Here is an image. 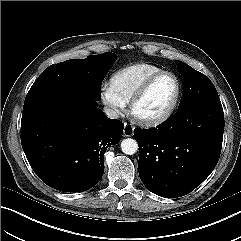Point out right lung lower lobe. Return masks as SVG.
Returning a JSON list of instances; mask_svg holds the SVG:
<instances>
[{
    "label": "right lung lower lobe",
    "mask_w": 241,
    "mask_h": 241,
    "mask_svg": "<svg viewBox=\"0 0 241 241\" xmlns=\"http://www.w3.org/2000/svg\"><path fill=\"white\" fill-rule=\"evenodd\" d=\"M123 124L97 108V100L71 83L31 88L21 119V144L36 175L63 192L86 191L104 172L103 156L117 144Z\"/></svg>",
    "instance_id": "obj_1"
}]
</instances>
